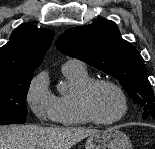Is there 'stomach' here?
Listing matches in <instances>:
<instances>
[{
	"label": "stomach",
	"mask_w": 155,
	"mask_h": 149,
	"mask_svg": "<svg viewBox=\"0 0 155 149\" xmlns=\"http://www.w3.org/2000/svg\"><path fill=\"white\" fill-rule=\"evenodd\" d=\"M85 149H132L129 137L117 128H109L91 134Z\"/></svg>",
	"instance_id": "obj_1"
}]
</instances>
